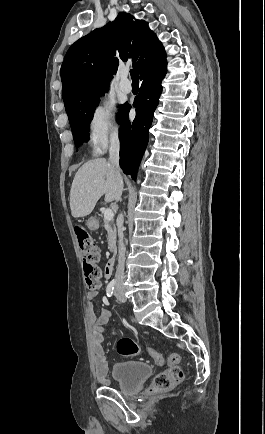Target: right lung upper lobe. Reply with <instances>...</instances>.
<instances>
[{
  "label": "right lung upper lobe",
  "instance_id": "1",
  "mask_svg": "<svg viewBox=\"0 0 265 434\" xmlns=\"http://www.w3.org/2000/svg\"><path fill=\"white\" fill-rule=\"evenodd\" d=\"M163 53L147 22L120 12L113 22L93 30L69 48L60 71L64 103L107 89L119 60L132 61L140 72L144 62Z\"/></svg>",
  "mask_w": 265,
  "mask_h": 434
}]
</instances>
